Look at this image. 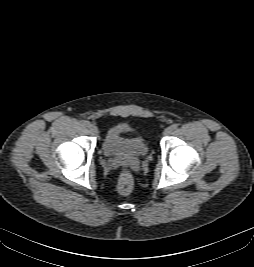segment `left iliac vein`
Masks as SVG:
<instances>
[{
	"mask_svg": "<svg viewBox=\"0 0 254 267\" xmlns=\"http://www.w3.org/2000/svg\"><path fill=\"white\" fill-rule=\"evenodd\" d=\"M172 131H173V127L169 126L163 131V135L164 136H168V135H170L172 133Z\"/></svg>",
	"mask_w": 254,
	"mask_h": 267,
	"instance_id": "1",
	"label": "left iliac vein"
}]
</instances>
